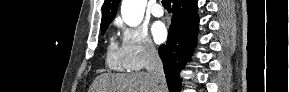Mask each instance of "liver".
Masks as SVG:
<instances>
[{"mask_svg": "<svg viewBox=\"0 0 289 92\" xmlns=\"http://www.w3.org/2000/svg\"><path fill=\"white\" fill-rule=\"evenodd\" d=\"M90 92H160L148 72L129 75L103 73L93 82ZM162 92H167V89Z\"/></svg>", "mask_w": 289, "mask_h": 92, "instance_id": "1", "label": "liver"}]
</instances>
